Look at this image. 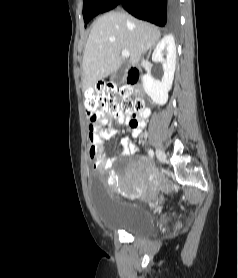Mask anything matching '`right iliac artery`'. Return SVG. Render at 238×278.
I'll return each instance as SVG.
<instances>
[{"label":"right iliac artery","mask_w":238,"mask_h":278,"mask_svg":"<svg viewBox=\"0 0 238 278\" xmlns=\"http://www.w3.org/2000/svg\"><path fill=\"white\" fill-rule=\"evenodd\" d=\"M148 154H149V156L152 158V157L154 156V152H153V150H152V149H150V150L148 151Z\"/></svg>","instance_id":"1"}]
</instances>
